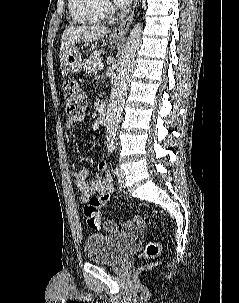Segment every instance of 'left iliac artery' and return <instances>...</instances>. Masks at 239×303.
<instances>
[{"instance_id":"left-iliac-artery-1","label":"left iliac artery","mask_w":239,"mask_h":303,"mask_svg":"<svg viewBox=\"0 0 239 303\" xmlns=\"http://www.w3.org/2000/svg\"><path fill=\"white\" fill-rule=\"evenodd\" d=\"M116 148V145L115 143L112 141V142H109L108 144V152L111 154L113 153V150ZM114 173L117 174L118 173V168H115L114 170Z\"/></svg>"}]
</instances>
